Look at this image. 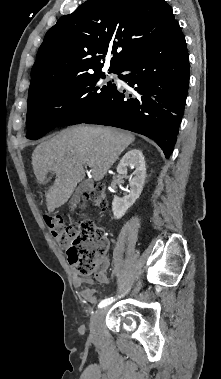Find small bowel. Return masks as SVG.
Instances as JSON below:
<instances>
[{
  "mask_svg": "<svg viewBox=\"0 0 221 379\" xmlns=\"http://www.w3.org/2000/svg\"><path fill=\"white\" fill-rule=\"evenodd\" d=\"M110 261L108 256H104L98 263L96 272H95V280L100 283H109V278L106 274L107 269L109 268ZM73 283L76 287L81 288L84 285L88 284V287H85L81 290V297L90 304H95L98 300L97 295L95 293V289L92 287L94 281L89 278L81 277L78 274H74Z\"/></svg>",
  "mask_w": 221,
  "mask_h": 379,
  "instance_id": "1",
  "label": "small bowel"
}]
</instances>
